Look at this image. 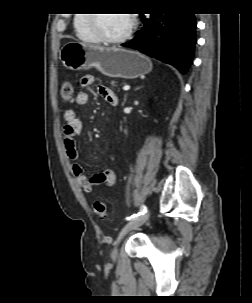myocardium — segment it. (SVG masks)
Returning <instances> with one entry per match:
<instances>
[{
	"label": "myocardium",
	"mask_w": 252,
	"mask_h": 303,
	"mask_svg": "<svg viewBox=\"0 0 252 303\" xmlns=\"http://www.w3.org/2000/svg\"><path fill=\"white\" fill-rule=\"evenodd\" d=\"M128 15L130 17V22H129V25H128V28L126 29V31L119 36L108 37V36L104 35L97 26L98 14H91V26L96 35V39H98L101 42L110 43V44L121 43V42H124L125 40H127L131 36V34L133 33V31L137 25L136 15L133 13H128Z\"/></svg>",
	"instance_id": "1"
}]
</instances>
